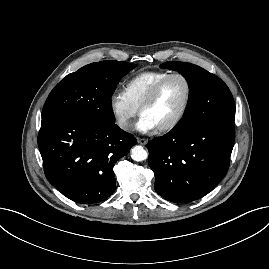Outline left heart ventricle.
Masks as SVG:
<instances>
[{"instance_id":"obj_1","label":"left heart ventricle","mask_w":269,"mask_h":269,"mask_svg":"<svg viewBox=\"0 0 269 269\" xmlns=\"http://www.w3.org/2000/svg\"><path fill=\"white\" fill-rule=\"evenodd\" d=\"M187 89L181 78L170 79L161 89L155 102L146 108L142 115L148 117L156 128L171 122L181 111Z\"/></svg>"}]
</instances>
